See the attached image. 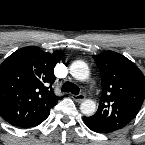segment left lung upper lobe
Wrapping results in <instances>:
<instances>
[{
	"label": "left lung upper lobe",
	"instance_id": "left-lung-upper-lobe-1",
	"mask_svg": "<svg viewBox=\"0 0 145 145\" xmlns=\"http://www.w3.org/2000/svg\"><path fill=\"white\" fill-rule=\"evenodd\" d=\"M101 72L103 93L91 123L113 132L125 127L139 112L145 99V77L125 56L102 52L93 56Z\"/></svg>",
	"mask_w": 145,
	"mask_h": 145
}]
</instances>
